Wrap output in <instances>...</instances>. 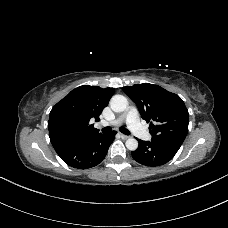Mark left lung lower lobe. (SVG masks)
<instances>
[{"label":"left lung lower lobe","instance_id":"left-lung-lower-lobe-1","mask_svg":"<svg viewBox=\"0 0 228 228\" xmlns=\"http://www.w3.org/2000/svg\"><path fill=\"white\" fill-rule=\"evenodd\" d=\"M139 147L132 151V157L145 166H160L169 162L177 153L182 143L172 140L142 141L138 140Z\"/></svg>","mask_w":228,"mask_h":228}]
</instances>
